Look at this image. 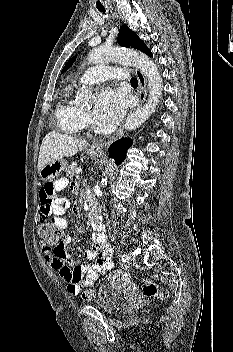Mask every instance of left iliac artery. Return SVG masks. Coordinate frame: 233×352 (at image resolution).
I'll return each mask as SVG.
<instances>
[{"label":"left iliac artery","instance_id":"left-iliac-artery-1","mask_svg":"<svg viewBox=\"0 0 233 352\" xmlns=\"http://www.w3.org/2000/svg\"><path fill=\"white\" fill-rule=\"evenodd\" d=\"M121 260H122L123 262H126V261L128 260L127 254H123V255L121 256Z\"/></svg>","mask_w":233,"mask_h":352}]
</instances>
